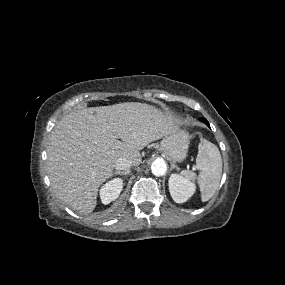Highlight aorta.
Here are the masks:
<instances>
[{
    "mask_svg": "<svg viewBox=\"0 0 285 285\" xmlns=\"http://www.w3.org/2000/svg\"><path fill=\"white\" fill-rule=\"evenodd\" d=\"M151 171L155 176H163L167 171V165L161 159L155 160L151 165Z\"/></svg>",
    "mask_w": 285,
    "mask_h": 285,
    "instance_id": "aorta-1",
    "label": "aorta"
}]
</instances>
